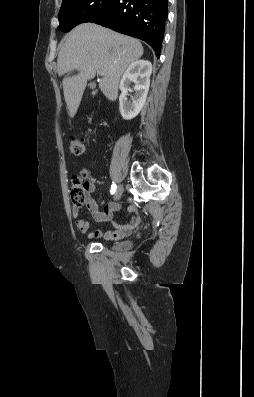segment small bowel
<instances>
[{
  "instance_id": "c3829d8e",
  "label": "small bowel",
  "mask_w": 254,
  "mask_h": 397,
  "mask_svg": "<svg viewBox=\"0 0 254 397\" xmlns=\"http://www.w3.org/2000/svg\"><path fill=\"white\" fill-rule=\"evenodd\" d=\"M94 191V185L89 184L88 193ZM87 208L90 211L92 218L99 223L109 222L112 224L113 229L108 231H103L102 229H95L89 232L90 225L87 221L78 219L79 209L74 206L72 208V216L76 218L75 225L80 233L86 234L89 239H104L107 241L119 240L121 238L126 237L131 233V231L136 228L141 219L135 215L137 212V208L135 206H130L128 208V212L131 217L127 222H118L113 218L114 212H119L121 210L120 206L117 204L109 203L104 209L101 211L98 207L97 202L94 199H89L87 204Z\"/></svg>"
}]
</instances>
